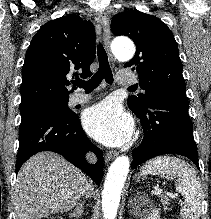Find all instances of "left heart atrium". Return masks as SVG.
I'll return each instance as SVG.
<instances>
[{
	"label": "left heart atrium",
	"instance_id": "39dd6f15",
	"mask_svg": "<svg viewBox=\"0 0 211 219\" xmlns=\"http://www.w3.org/2000/svg\"><path fill=\"white\" fill-rule=\"evenodd\" d=\"M83 125L93 138L108 146L128 142L133 133L131 117L112 101H103L89 108L84 113Z\"/></svg>",
	"mask_w": 211,
	"mask_h": 219
}]
</instances>
